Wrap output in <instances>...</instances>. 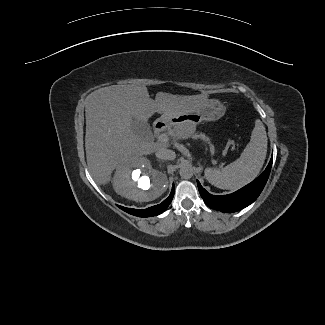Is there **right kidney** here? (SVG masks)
Here are the masks:
<instances>
[{
  "label": "right kidney",
  "mask_w": 325,
  "mask_h": 325,
  "mask_svg": "<svg viewBox=\"0 0 325 325\" xmlns=\"http://www.w3.org/2000/svg\"><path fill=\"white\" fill-rule=\"evenodd\" d=\"M113 182L116 193L140 202L158 198L168 185L166 175L153 169L145 158L118 167Z\"/></svg>",
  "instance_id": "obj_1"
}]
</instances>
